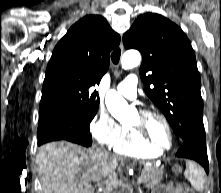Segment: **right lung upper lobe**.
<instances>
[{"label":"right lung upper lobe","instance_id":"1","mask_svg":"<svg viewBox=\"0 0 221 193\" xmlns=\"http://www.w3.org/2000/svg\"><path fill=\"white\" fill-rule=\"evenodd\" d=\"M120 36L100 15L76 22L55 46L43 83L40 109L51 107L94 108L99 84L110 63L109 53Z\"/></svg>","mask_w":221,"mask_h":193}]
</instances>
